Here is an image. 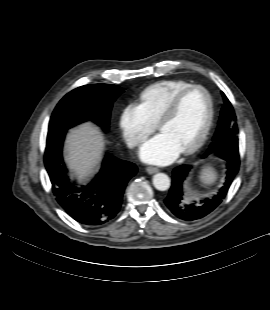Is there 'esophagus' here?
Returning a JSON list of instances; mask_svg holds the SVG:
<instances>
[{"label": "esophagus", "instance_id": "esophagus-1", "mask_svg": "<svg viewBox=\"0 0 270 310\" xmlns=\"http://www.w3.org/2000/svg\"><path fill=\"white\" fill-rule=\"evenodd\" d=\"M146 171L148 174H154V173H157L159 171V169L156 167H147Z\"/></svg>", "mask_w": 270, "mask_h": 310}]
</instances>
